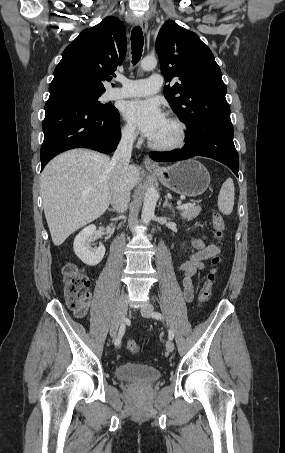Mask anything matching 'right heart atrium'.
Masks as SVG:
<instances>
[{
	"label": "right heart atrium",
	"instance_id": "d8ad5b80",
	"mask_svg": "<svg viewBox=\"0 0 285 453\" xmlns=\"http://www.w3.org/2000/svg\"><path fill=\"white\" fill-rule=\"evenodd\" d=\"M121 135L124 141L131 143L136 139L137 133L133 125L126 123L121 129Z\"/></svg>",
	"mask_w": 285,
	"mask_h": 453
}]
</instances>
